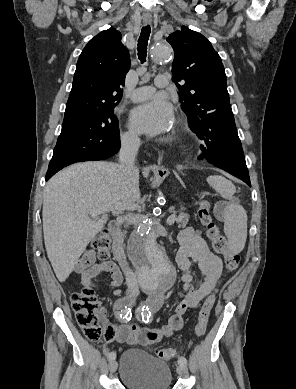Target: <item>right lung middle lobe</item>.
<instances>
[{"mask_svg": "<svg viewBox=\"0 0 296 389\" xmlns=\"http://www.w3.org/2000/svg\"><path fill=\"white\" fill-rule=\"evenodd\" d=\"M114 107L64 118L50 168H63L76 162L105 159L120 147Z\"/></svg>", "mask_w": 296, "mask_h": 389, "instance_id": "right-lung-middle-lobe-1", "label": "right lung middle lobe"}]
</instances>
